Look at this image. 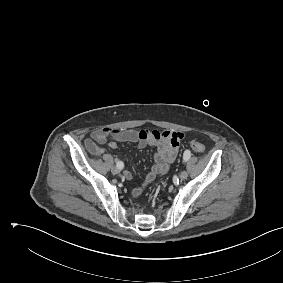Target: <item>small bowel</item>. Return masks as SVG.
I'll return each instance as SVG.
<instances>
[{
	"label": "small bowel",
	"instance_id": "c3829d8e",
	"mask_svg": "<svg viewBox=\"0 0 283 283\" xmlns=\"http://www.w3.org/2000/svg\"><path fill=\"white\" fill-rule=\"evenodd\" d=\"M183 138V133L172 130H119L105 127L91 133L93 142L99 144L108 142V147L111 150L118 148V142L136 143L139 148L148 145L156 147L154 165L147 173L143 184L132 190L134 196L142 194L157 177L164 175L169 170L170 165L177 156L178 147ZM124 176L127 179L132 178V174L129 171H125Z\"/></svg>",
	"mask_w": 283,
	"mask_h": 283
}]
</instances>
